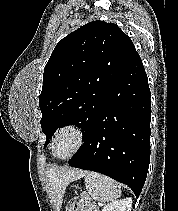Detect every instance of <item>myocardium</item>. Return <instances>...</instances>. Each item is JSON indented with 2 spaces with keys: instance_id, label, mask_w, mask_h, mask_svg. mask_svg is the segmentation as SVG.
<instances>
[{
  "instance_id": "obj_1",
  "label": "myocardium",
  "mask_w": 178,
  "mask_h": 211,
  "mask_svg": "<svg viewBox=\"0 0 178 211\" xmlns=\"http://www.w3.org/2000/svg\"><path fill=\"white\" fill-rule=\"evenodd\" d=\"M65 132H71L74 134L75 138H76V144L74 146V148L66 155L64 156H59L56 151H55V143L56 140L58 139V137L65 133ZM85 143V133L84 130L76 124L70 123V124H66L61 126L54 134L52 142H51V152L53 154L54 157L64 160V159H68L73 157L74 155H76L84 146Z\"/></svg>"
}]
</instances>
